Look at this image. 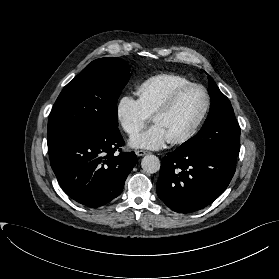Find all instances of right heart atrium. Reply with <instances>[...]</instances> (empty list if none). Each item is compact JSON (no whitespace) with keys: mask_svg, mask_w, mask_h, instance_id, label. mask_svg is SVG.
Segmentation results:
<instances>
[{"mask_svg":"<svg viewBox=\"0 0 279 279\" xmlns=\"http://www.w3.org/2000/svg\"><path fill=\"white\" fill-rule=\"evenodd\" d=\"M115 117L119 127L129 136H134L142 130L150 119L139 100L128 94L118 98Z\"/></svg>","mask_w":279,"mask_h":279,"instance_id":"d8ad5b80","label":"right heart atrium"}]
</instances>
